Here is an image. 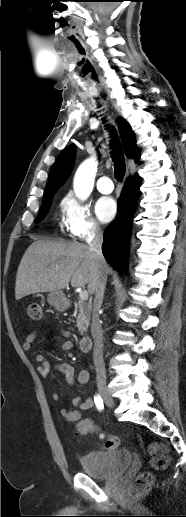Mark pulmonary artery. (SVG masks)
Listing matches in <instances>:
<instances>
[{
  "instance_id": "e3ab8cb5",
  "label": "pulmonary artery",
  "mask_w": 186,
  "mask_h": 517,
  "mask_svg": "<svg viewBox=\"0 0 186 517\" xmlns=\"http://www.w3.org/2000/svg\"><path fill=\"white\" fill-rule=\"evenodd\" d=\"M113 183L110 177L102 176L97 181V189L103 194H109L113 191Z\"/></svg>"
}]
</instances>
